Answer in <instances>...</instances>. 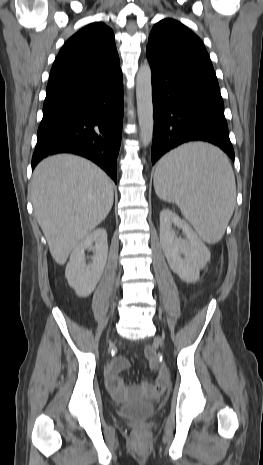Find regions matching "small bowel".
Instances as JSON below:
<instances>
[{
	"label": "small bowel",
	"mask_w": 263,
	"mask_h": 465,
	"mask_svg": "<svg viewBox=\"0 0 263 465\" xmlns=\"http://www.w3.org/2000/svg\"><path fill=\"white\" fill-rule=\"evenodd\" d=\"M128 367L125 358H117L107 367V387L112 396L117 400H125L129 397L141 394L157 395L164 391L168 375L164 369H159L158 376L154 384L144 383L142 386L126 387L120 373Z\"/></svg>",
	"instance_id": "obj_1"
}]
</instances>
